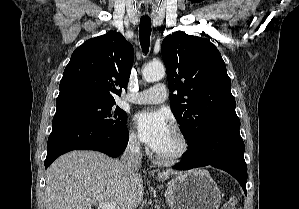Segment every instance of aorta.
I'll return each mask as SVG.
<instances>
[{"label": "aorta", "instance_id": "obj_1", "mask_svg": "<svg viewBox=\"0 0 299 209\" xmlns=\"http://www.w3.org/2000/svg\"><path fill=\"white\" fill-rule=\"evenodd\" d=\"M147 82H156L165 76V67L162 63H149L142 71Z\"/></svg>", "mask_w": 299, "mask_h": 209}]
</instances>
